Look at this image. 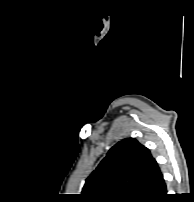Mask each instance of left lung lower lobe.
<instances>
[{
    "instance_id": "obj_1",
    "label": "left lung lower lobe",
    "mask_w": 194,
    "mask_h": 202,
    "mask_svg": "<svg viewBox=\"0 0 194 202\" xmlns=\"http://www.w3.org/2000/svg\"><path fill=\"white\" fill-rule=\"evenodd\" d=\"M166 196H167V190L163 179L152 202H162L166 198Z\"/></svg>"
}]
</instances>
